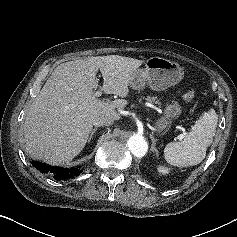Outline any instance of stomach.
<instances>
[{
  "mask_svg": "<svg viewBox=\"0 0 237 237\" xmlns=\"http://www.w3.org/2000/svg\"><path fill=\"white\" fill-rule=\"evenodd\" d=\"M184 72L182 67L173 61L162 57H151L146 61L144 69H137L130 80V87L142 90L146 85L159 91L171 87L182 80ZM182 113V107L177 101L167 104L164 114L155 121V128L160 135L166 134Z\"/></svg>",
  "mask_w": 237,
  "mask_h": 237,
  "instance_id": "obj_1",
  "label": "stomach"
}]
</instances>
